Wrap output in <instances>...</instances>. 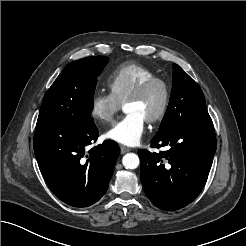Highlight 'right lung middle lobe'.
Listing matches in <instances>:
<instances>
[{
  "label": "right lung middle lobe",
  "mask_w": 246,
  "mask_h": 246,
  "mask_svg": "<svg viewBox=\"0 0 246 246\" xmlns=\"http://www.w3.org/2000/svg\"><path fill=\"white\" fill-rule=\"evenodd\" d=\"M105 56L83 58L68 64L46 92L37 124L90 127L97 77L108 63Z\"/></svg>",
  "instance_id": "1"
}]
</instances>
